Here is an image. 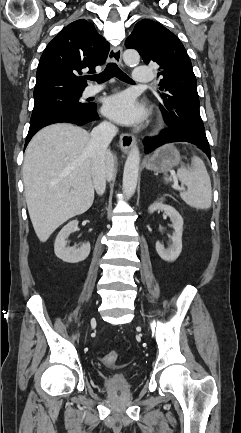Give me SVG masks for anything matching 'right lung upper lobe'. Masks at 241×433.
<instances>
[{
	"instance_id": "cb5924a9",
	"label": "right lung upper lobe",
	"mask_w": 241,
	"mask_h": 433,
	"mask_svg": "<svg viewBox=\"0 0 241 433\" xmlns=\"http://www.w3.org/2000/svg\"><path fill=\"white\" fill-rule=\"evenodd\" d=\"M110 46L94 25L77 20L65 27L44 50L37 69L34 97L58 91H83L84 69L95 72L105 62Z\"/></svg>"
}]
</instances>
